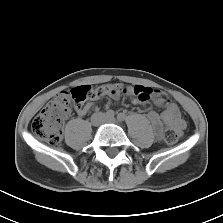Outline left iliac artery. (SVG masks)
I'll return each instance as SVG.
<instances>
[{"mask_svg": "<svg viewBox=\"0 0 223 223\" xmlns=\"http://www.w3.org/2000/svg\"><path fill=\"white\" fill-rule=\"evenodd\" d=\"M125 118H126V115H125L124 113H119V114L117 115V119H118L119 121H123V120H125Z\"/></svg>", "mask_w": 223, "mask_h": 223, "instance_id": "obj_1", "label": "left iliac artery"}]
</instances>
